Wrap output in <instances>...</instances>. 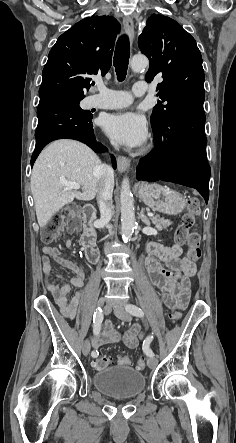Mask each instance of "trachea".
Instances as JSON below:
<instances>
[{
    "instance_id": "1",
    "label": "trachea",
    "mask_w": 236,
    "mask_h": 443,
    "mask_svg": "<svg viewBox=\"0 0 236 443\" xmlns=\"http://www.w3.org/2000/svg\"><path fill=\"white\" fill-rule=\"evenodd\" d=\"M129 57V39L127 35H123L117 41L113 62L119 82L124 81L126 78Z\"/></svg>"
}]
</instances>
